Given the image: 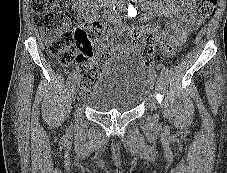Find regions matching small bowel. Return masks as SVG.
<instances>
[{"mask_svg": "<svg viewBox=\"0 0 227 173\" xmlns=\"http://www.w3.org/2000/svg\"><path fill=\"white\" fill-rule=\"evenodd\" d=\"M137 3V0H128L121 10L126 15L129 12H135L137 11ZM178 4L175 5L170 0L145 4L150 9V13L145 20L155 15L169 19L164 25L166 32L162 34L149 25L141 27L123 26L119 21V17H113L112 20L118 26L120 32L115 35L109 34V40L107 41L103 38L99 39L98 50L114 57H125L133 51V39L161 35L165 43L160 48L165 54H172L182 44L185 36L193 31L200 22L196 12V0H178Z\"/></svg>", "mask_w": 227, "mask_h": 173, "instance_id": "c3829d8e", "label": "small bowel"}]
</instances>
